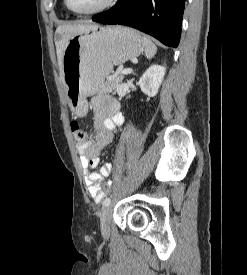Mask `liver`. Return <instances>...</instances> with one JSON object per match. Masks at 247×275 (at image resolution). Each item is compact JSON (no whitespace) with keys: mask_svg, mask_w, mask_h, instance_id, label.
<instances>
[{"mask_svg":"<svg viewBox=\"0 0 247 275\" xmlns=\"http://www.w3.org/2000/svg\"><path fill=\"white\" fill-rule=\"evenodd\" d=\"M97 28H98V25H95V24L60 25L57 27L56 35L58 39L56 40L55 44H56V53H57V59H58V65H59V72L63 83H64V78H63L64 74H63L62 59H63L64 49L66 48L69 39L75 35L87 33Z\"/></svg>","mask_w":247,"mask_h":275,"instance_id":"6515ba94","label":"liver"}]
</instances>
